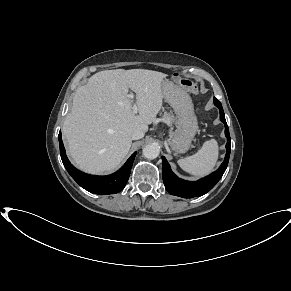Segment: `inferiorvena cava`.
Here are the masks:
<instances>
[{
    "label": "inferior vena cava",
    "mask_w": 291,
    "mask_h": 291,
    "mask_svg": "<svg viewBox=\"0 0 291 291\" xmlns=\"http://www.w3.org/2000/svg\"><path fill=\"white\" fill-rule=\"evenodd\" d=\"M143 137H144V132L142 130H139V129L133 131L131 134L132 140H138V139H141Z\"/></svg>",
    "instance_id": "1"
}]
</instances>
